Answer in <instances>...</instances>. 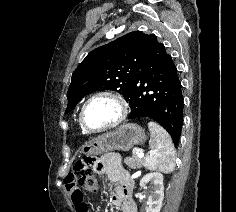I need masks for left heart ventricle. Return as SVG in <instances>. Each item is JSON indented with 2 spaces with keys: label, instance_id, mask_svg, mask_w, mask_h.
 Here are the masks:
<instances>
[{
  "label": "left heart ventricle",
  "instance_id": "1",
  "mask_svg": "<svg viewBox=\"0 0 236 212\" xmlns=\"http://www.w3.org/2000/svg\"><path fill=\"white\" fill-rule=\"evenodd\" d=\"M118 113L116 104L106 98L92 101L85 109L84 122L90 129H98L113 121Z\"/></svg>",
  "mask_w": 236,
  "mask_h": 212
}]
</instances>
